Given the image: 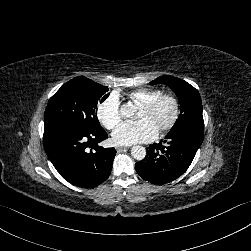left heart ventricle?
<instances>
[{"mask_svg":"<svg viewBox=\"0 0 251 251\" xmlns=\"http://www.w3.org/2000/svg\"><path fill=\"white\" fill-rule=\"evenodd\" d=\"M174 104L170 100L163 101L154 111H147L143 108L137 114V120L149 118L153 120L158 127L168 123L174 115Z\"/></svg>","mask_w":251,"mask_h":251,"instance_id":"obj_1","label":"left heart ventricle"}]
</instances>
